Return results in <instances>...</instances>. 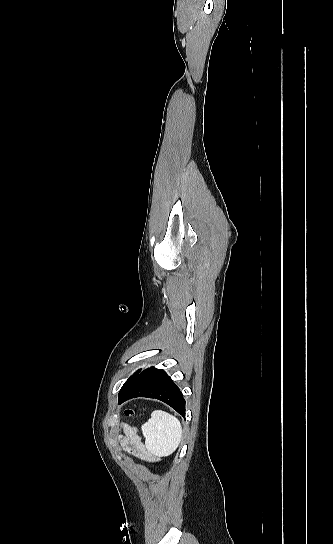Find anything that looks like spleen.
I'll return each mask as SVG.
<instances>
[{
    "instance_id": "obj_1",
    "label": "spleen",
    "mask_w": 333,
    "mask_h": 544,
    "mask_svg": "<svg viewBox=\"0 0 333 544\" xmlns=\"http://www.w3.org/2000/svg\"><path fill=\"white\" fill-rule=\"evenodd\" d=\"M141 429L146 438L147 448L158 456L171 455L182 438L180 421L162 410H155Z\"/></svg>"
}]
</instances>
